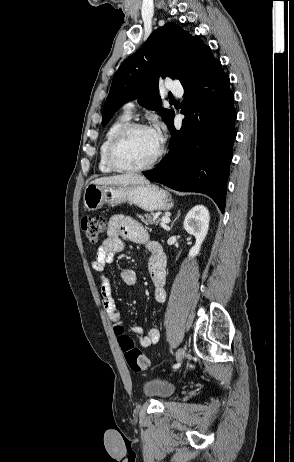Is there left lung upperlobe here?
I'll list each match as a JSON object with an SVG mask.
<instances>
[{
	"label": "left lung upper lobe",
	"mask_w": 294,
	"mask_h": 462,
	"mask_svg": "<svg viewBox=\"0 0 294 462\" xmlns=\"http://www.w3.org/2000/svg\"><path fill=\"white\" fill-rule=\"evenodd\" d=\"M213 59L210 48L198 36L174 23L158 28L115 73L103 107L102 125L123 104L135 98L143 107L160 112L168 125L174 111L161 107L159 79L170 77L184 84Z\"/></svg>",
	"instance_id": "left-lung-upper-lobe-1"
}]
</instances>
